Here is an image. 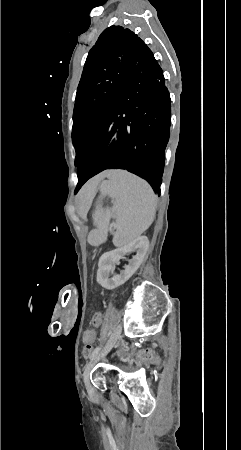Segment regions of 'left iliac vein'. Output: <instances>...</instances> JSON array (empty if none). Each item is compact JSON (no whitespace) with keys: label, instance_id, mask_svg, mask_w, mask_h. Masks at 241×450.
<instances>
[{"label":"left iliac vein","instance_id":"4c4485c4","mask_svg":"<svg viewBox=\"0 0 241 450\" xmlns=\"http://www.w3.org/2000/svg\"><path fill=\"white\" fill-rule=\"evenodd\" d=\"M121 332H122V325L119 324L115 328L112 336L110 337V339L108 340L107 344L102 349V351L99 352L93 358V360L90 361L84 368L83 380H84V384H85V388L87 390V393L90 396H92L94 394V389H93V387L91 385V382H90L91 372H92L94 366L110 352V350L113 348V346L116 344V342L121 338Z\"/></svg>","mask_w":241,"mask_h":450}]
</instances>
